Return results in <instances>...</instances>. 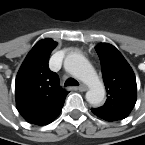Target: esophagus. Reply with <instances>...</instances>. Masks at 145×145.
Instances as JSON below:
<instances>
[{
	"label": "esophagus",
	"mask_w": 145,
	"mask_h": 145,
	"mask_svg": "<svg viewBox=\"0 0 145 145\" xmlns=\"http://www.w3.org/2000/svg\"><path fill=\"white\" fill-rule=\"evenodd\" d=\"M80 92H84L87 90V87L83 84H81L78 88H77Z\"/></svg>",
	"instance_id": "esophagus-1"
}]
</instances>
